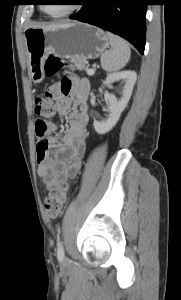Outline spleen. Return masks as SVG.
<instances>
[{
  "mask_svg": "<svg viewBox=\"0 0 181 300\" xmlns=\"http://www.w3.org/2000/svg\"><path fill=\"white\" fill-rule=\"evenodd\" d=\"M106 35L111 48L101 55V66L106 72H115L125 67L130 59L131 51L128 43L121 37L110 32Z\"/></svg>",
  "mask_w": 181,
  "mask_h": 300,
  "instance_id": "1",
  "label": "spleen"
}]
</instances>
